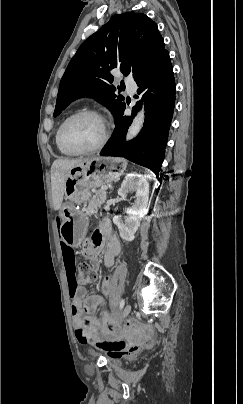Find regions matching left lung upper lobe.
Instances as JSON below:
<instances>
[{
	"mask_svg": "<svg viewBox=\"0 0 243 404\" xmlns=\"http://www.w3.org/2000/svg\"><path fill=\"white\" fill-rule=\"evenodd\" d=\"M166 52L156 23L145 14L113 15L71 59L60 82L54 116L77 98L90 96L105 105L116 122L124 112L125 102L110 85V71L118 68L125 76L132 74L136 81Z\"/></svg>",
	"mask_w": 243,
	"mask_h": 404,
	"instance_id": "left-lung-upper-lobe-1",
	"label": "left lung upper lobe"
}]
</instances>
